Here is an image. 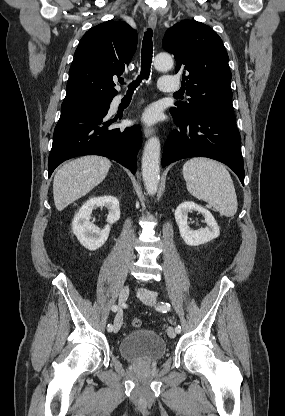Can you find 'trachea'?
I'll list each match as a JSON object with an SVG mask.
<instances>
[{
  "mask_svg": "<svg viewBox=\"0 0 285 416\" xmlns=\"http://www.w3.org/2000/svg\"><path fill=\"white\" fill-rule=\"evenodd\" d=\"M153 31L152 29H147L144 34L142 42V51H141V74L138 78L130 83L128 92H133L136 87L140 84L142 79H148L150 74V67L152 63V53H153V42H152ZM121 84L124 83L123 78L119 79Z\"/></svg>",
  "mask_w": 285,
  "mask_h": 416,
  "instance_id": "1",
  "label": "trachea"
}]
</instances>
